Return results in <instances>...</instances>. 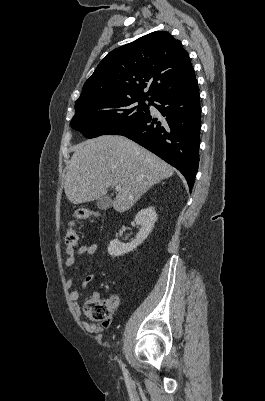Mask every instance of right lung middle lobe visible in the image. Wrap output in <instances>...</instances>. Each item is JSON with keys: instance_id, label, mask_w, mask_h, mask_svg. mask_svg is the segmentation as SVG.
<instances>
[{"instance_id": "1", "label": "right lung middle lobe", "mask_w": 265, "mask_h": 401, "mask_svg": "<svg viewBox=\"0 0 265 401\" xmlns=\"http://www.w3.org/2000/svg\"><path fill=\"white\" fill-rule=\"evenodd\" d=\"M146 100L150 105L154 104L147 98L115 96L101 97L80 104L75 106L76 114L71 126L87 138L113 134L150 114Z\"/></svg>"}]
</instances>
